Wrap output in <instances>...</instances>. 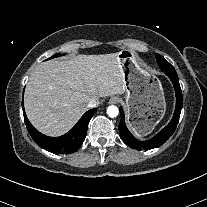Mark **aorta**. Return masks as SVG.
Listing matches in <instances>:
<instances>
[{"label":"aorta","instance_id":"aorta-1","mask_svg":"<svg viewBox=\"0 0 207 207\" xmlns=\"http://www.w3.org/2000/svg\"><path fill=\"white\" fill-rule=\"evenodd\" d=\"M119 113V109L117 108V106L115 105H110L108 108H107V114L109 117H116Z\"/></svg>","mask_w":207,"mask_h":207}]
</instances>
